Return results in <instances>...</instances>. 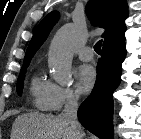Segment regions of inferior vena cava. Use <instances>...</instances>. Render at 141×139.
I'll return each mask as SVG.
<instances>
[{"label":"inferior vena cava","mask_w":141,"mask_h":139,"mask_svg":"<svg viewBox=\"0 0 141 139\" xmlns=\"http://www.w3.org/2000/svg\"><path fill=\"white\" fill-rule=\"evenodd\" d=\"M77 110H78L77 97L74 96L73 94H70L67 97L64 109L60 116L70 124L71 133L74 136L73 138L82 139L83 135L81 125L77 118Z\"/></svg>","instance_id":"obj_1"}]
</instances>
